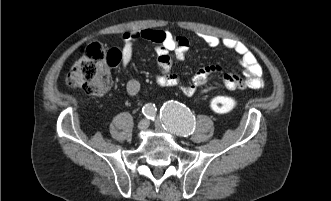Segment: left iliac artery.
<instances>
[{
	"label": "left iliac artery",
	"instance_id": "44dca946",
	"mask_svg": "<svg viewBox=\"0 0 331 201\" xmlns=\"http://www.w3.org/2000/svg\"><path fill=\"white\" fill-rule=\"evenodd\" d=\"M164 129L171 133L188 136L195 129V117L189 108L177 101H168L160 109Z\"/></svg>",
	"mask_w": 331,
	"mask_h": 201
}]
</instances>
